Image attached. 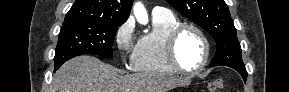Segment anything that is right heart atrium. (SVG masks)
<instances>
[{
	"label": "right heart atrium",
	"instance_id": "right-heart-atrium-1",
	"mask_svg": "<svg viewBox=\"0 0 289 92\" xmlns=\"http://www.w3.org/2000/svg\"><path fill=\"white\" fill-rule=\"evenodd\" d=\"M135 38V26L132 19H127L121 24L115 33V43L120 51L122 57L128 60L130 63L133 61L136 44Z\"/></svg>",
	"mask_w": 289,
	"mask_h": 92
}]
</instances>
